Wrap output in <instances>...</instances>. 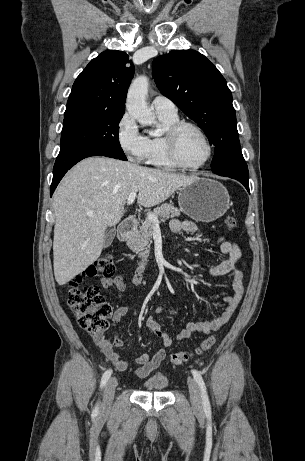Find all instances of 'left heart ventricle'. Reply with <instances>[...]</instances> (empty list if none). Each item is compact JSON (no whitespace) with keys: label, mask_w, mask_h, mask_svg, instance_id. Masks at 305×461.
<instances>
[{"label":"left heart ventricle","mask_w":305,"mask_h":461,"mask_svg":"<svg viewBox=\"0 0 305 461\" xmlns=\"http://www.w3.org/2000/svg\"><path fill=\"white\" fill-rule=\"evenodd\" d=\"M178 150L182 160L189 165L201 163L207 155V147L203 139L191 128H185L181 132Z\"/></svg>","instance_id":"b2bd125f"}]
</instances>
